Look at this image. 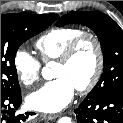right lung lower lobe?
<instances>
[{"mask_svg": "<svg viewBox=\"0 0 123 123\" xmlns=\"http://www.w3.org/2000/svg\"><path fill=\"white\" fill-rule=\"evenodd\" d=\"M21 104V91L13 94H1V123H23L32 112L16 115Z\"/></svg>", "mask_w": 123, "mask_h": 123, "instance_id": "98d812e1", "label": "right lung lower lobe"}]
</instances>
